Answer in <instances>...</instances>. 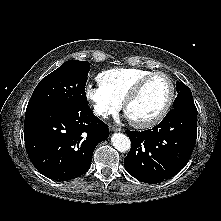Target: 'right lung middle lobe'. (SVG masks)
Masks as SVG:
<instances>
[{
  "label": "right lung middle lobe",
  "instance_id": "dd1d6c3e",
  "mask_svg": "<svg viewBox=\"0 0 221 221\" xmlns=\"http://www.w3.org/2000/svg\"><path fill=\"white\" fill-rule=\"evenodd\" d=\"M90 63L69 60L36 86L26 112L47 108L78 111L88 106L85 86Z\"/></svg>",
  "mask_w": 221,
  "mask_h": 221
}]
</instances>
